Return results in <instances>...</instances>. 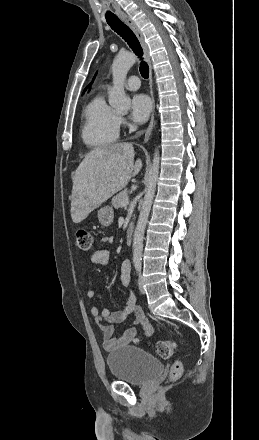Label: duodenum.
<instances>
[{"instance_id":"duodenum-1","label":"duodenum","mask_w":259,"mask_h":440,"mask_svg":"<svg viewBox=\"0 0 259 440\" xmlns=\"http://www.w3.org/2000/svg\"><path fill=\"white\" fill-rule=\"evenodd\" d=\"M133 239V226H129L126 231L125 240L128 245L132 243Z\"/></svg>"}]
</instances>
